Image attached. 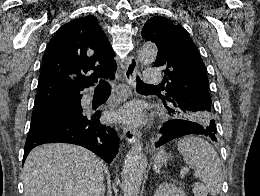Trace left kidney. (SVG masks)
Listing matches in <instances>:
<instances>
[{"mask_svg": "<svg viewBox=\"0 0 260 196\" xmlns=\"http://www.w3.org/2000/svg\"><path fill=\"white\" fill-rule=\"evenodd\" d=\"M154 196H186V194L185 192H183V190L177 188V186H173V184H168V182H164V184H160Z\"/></svg>", "mask_w": 260, "mask_h": 196, "instance_id": "1", "label": "left kidney"}]
</instances>
